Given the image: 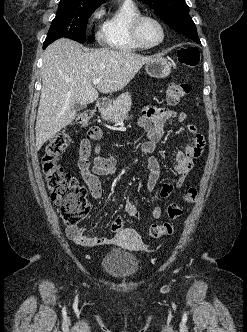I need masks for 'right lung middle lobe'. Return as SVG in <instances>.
<instances>
[{"label":"right lung middle lobe","mask_w":247,"mask_h":332,"mask_svg":"<svg viewBox=\"0 0 247 332\" xmlns=\"http://www.w3.org/2000/svg\"><path fill=\"white\" fill-rule=\"evenodd\" d=\"M101 3L61 0L47 38L66 37L84 43L87 21Z\"/></svg>","instance_id":"1"}]
</instances>
